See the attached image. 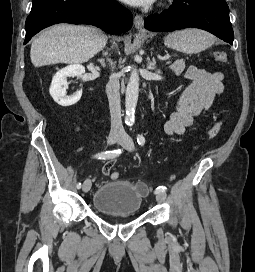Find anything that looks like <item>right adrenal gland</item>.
Instances as JSON below:
<instances>
[{
    "instance_id": "obj_1",
    "label": "right adrenal gland",
    "mask_w": 255,
    "mask_h": 272,
    "mask_svg": "<svg viewBox=\"0 0 255 272\" xmlns=\"http://www.w3.org/2000/svg\"><path fill=\"white\" fill-rule=\"evenodd\" d=\"M103 55L106 57L108 55V48H107V51L103 53ZM107 60H109L107 58ZM98 62L101 64L102 67H105L106 66V61L104 58H101V59H98Z\"/></svg>"
}]
</instances>
